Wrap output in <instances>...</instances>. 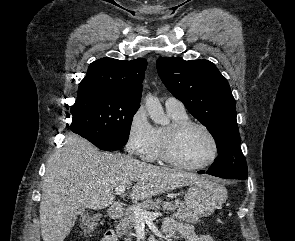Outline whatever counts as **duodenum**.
Segmentation results:
<instances>
[{
  "mask_svg": "<svg viewBox=\"0 0 295 241\" xmlns=\"http://www.w3.org/2000/svg\"><path fill=\"white\" fill-rule=\"evenodd\" d=\"M123 205L121 203H113L109 207V215L111 218H118L122 215Z\"/></svg>",
  "mask_w": 295,
  "mask_h": 241,
  "instance_id": "1",
  "label": "duodenum"
}]
</instances>
